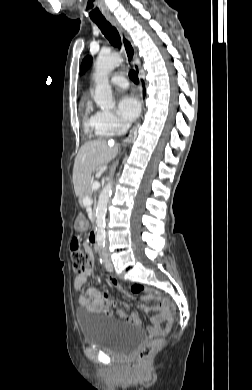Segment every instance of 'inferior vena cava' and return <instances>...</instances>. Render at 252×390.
<instances>
[{"instance_id": "inferior-vena-cava-1", "label": "inferior vena cava", "mask_w": 252, "mask_h": 390, "mask_svg": "<svg viewBox=\"0 0 252 390\" xmlns=\"http://www.w3.org/2000/svg\"><path fill=\"white\" fill-rule=\"evenodd\" d=\"M129 124H124V125H122V127H121V130L119 131V134H124V133H126L127 132V130L129 129Z\"/></svg>"}]
</instances>
